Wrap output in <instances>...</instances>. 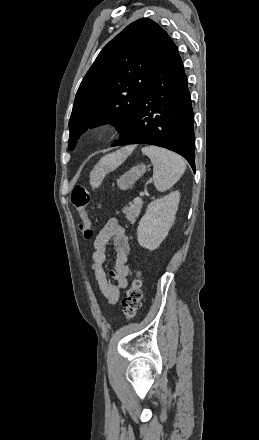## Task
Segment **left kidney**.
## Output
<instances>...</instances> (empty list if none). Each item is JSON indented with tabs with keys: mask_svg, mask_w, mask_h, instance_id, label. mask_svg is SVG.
<instances>
[{
	"mask_svg": "<svg viewBox=\"0 0 259 440\" xmlns=\"http://www.w3.org/2000/svg\"><path fill=\"white\" fill-rule=\"evenodd\" d=\"M180 200V192L151 201L137 228V240L140 246L153 251L168 235L175 219Z\"/></svg>",
	"mask_w": 259,
	"mask_h": 440,
	"instance_id": "5707ae66",
	"label": "left kidney"
}]
</instances>
